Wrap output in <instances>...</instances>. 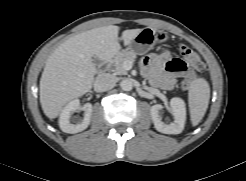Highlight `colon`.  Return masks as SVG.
I'll list each match as a JSON object with an SVG mask.
<instances>
[{
	"label": "colon",
	"mask_w": 246,
	"mask_h": 181,
	"mask_svg": "<svg viewBox=\"0 0 246 181\" xmlns=\"http://www.w3.org/2000/svg\"><path fill=\"white\" fill-rule=\"evenodd\" d=\"M179 52L184 59L187 66L188 73L182 81L183 89L187 90L190 88L193 79L195 78L196 72H202L205 70L204 62L201 57L194 52L190 47L181 45Z\"/></svg>",
	"instance_id": "obj_1"
}]
</instances>
